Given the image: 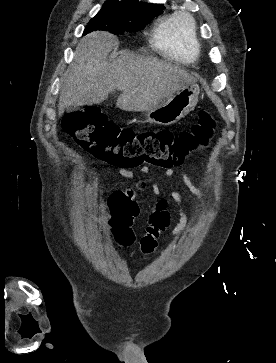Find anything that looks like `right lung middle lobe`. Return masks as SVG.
<instances>
[{"label":"right lung middle lobe","instance_id":"obj_1","mask_svg":"<svg viewBox=\"0 0 276 363\" xmlns=\"http://www.w3.org/2000/svg\"><path fill=\"white\" fill-rule=\"evenodd\" d=\"M164 7L144 5L116 6L104 4L85 28L84 34L96 30L109 31L114 34L135 32L144 28L155 16L163 12Z\"/></svg>","mask_w":276,"mask_h":363}]
</instances>
